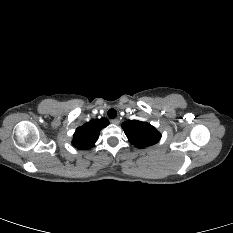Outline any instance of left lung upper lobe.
Returning a JSON list of instances; mask_svg holds the SVG:
<instances>
[{
    "mask_svg": "<svg viewBox=\"0 0 233 233\" xmlns=\"http://www.w3.org/2000/svg\"><path fill=\"white\" fill-rule=\"evenodd\" d=\"M122 128L129 142L138 148L156 144L161 134L149 123L138 120H128L122 123Z\"/></svg>",
    "mask_w": 233,
    "mask_h": 233,
    "instance_id": "left-lung-upper-lobe-1",
    "label": "left lung upper lobe"
}]
</instances>
